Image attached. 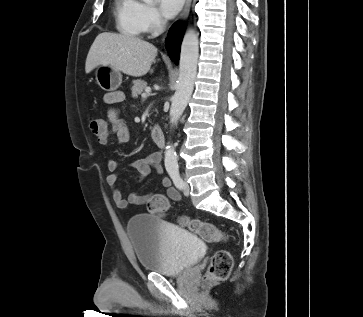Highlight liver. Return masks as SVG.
<instances>
[{"label": "liver", "mask_w": 363, "mask_h": 317, "mask_svg": "<svg viewBox=\"0 0 363 317\" xmlns=\"http://www.w3.org/2000/svg\"><path fill=\"white\" fill-rule=\"evenodd\" d=\"M157 48L138 37L104 32L94 40L86 59L88 74L99 65H109L124 74L140 77L150 71Z\"/></svg>", "instance_id": "6515ba94"}]
</instances>
